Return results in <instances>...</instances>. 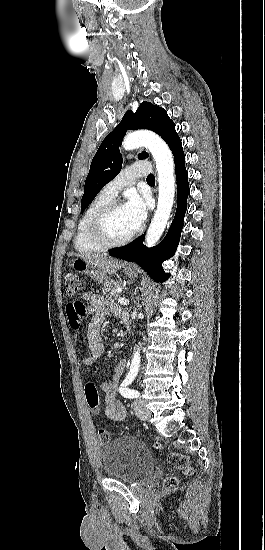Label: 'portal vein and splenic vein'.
<instances>
[{
  "instance_id": "obj_1",
  "label": "portal vein and splenic vein",
  "mask_w": 265,
  "mask_h": 550,
  "mask_svg": "<svg viewBox=\"0 0 265 550\" xmlns=\"http://www.w3.org/2000/svg\"><path fill=\"white\" fill-rule=\"evenodd\" d=\"M118 302L122 305H127L129 302L125 298H118Z\"/></svg>"
}]
</instances>
